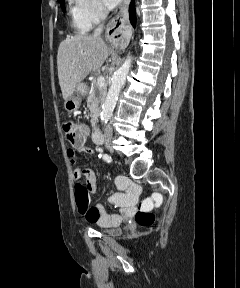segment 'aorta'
Returning <instances> with one entry per match:
<instances>
[{
  "mask_svg": "<svg viewBox=\"0 0 240 288\" xmlns=\"http://www.w3.org/2000/svg\"><path fill=\"white\" fill-rule=\"evenodd\" d=\"M131 66V57H127L121 67L114 73L112 84L100 113L101 121L105 124L110 120L122 86L125 84Z\"/></svg>",
  "mask_w": 240,
  "mask_h": 288,
  "instance_id": "aorta-1",
  "label": "aorta"
}]
</instances>
